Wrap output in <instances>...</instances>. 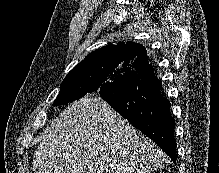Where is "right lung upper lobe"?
<instances>
[{"mask_svg": "<svg viewBox=\"0 0 219 173\" xmlns=\"http://www.w3.org/2000/svg\"><path fill=\"white\" fill-rule=\"evenodd\" d=\"M145 47L134 42H119L116 45L108 44L101 49L88 54L83 61L77 64L70 72H76L86 66L103 65L106 62L116 61L130 65L133 70L149 63Z\"/></svg>", "mask_w": 219, "mask_h": 173, "instance_id": "cb5924a9", "label": "right lung upper lobe"}]
</instances>
